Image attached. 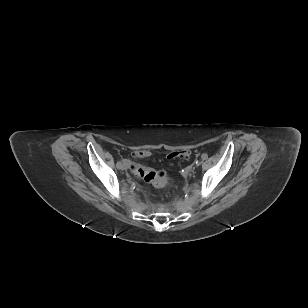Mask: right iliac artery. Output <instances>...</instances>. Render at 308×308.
Instances as JSON below:
<instances>
[{"instance_id":"obj_1","label":"right iliac artery","mask_w":308,"mask_h":308,"mask_svg":"<svg viewBox=\"0 0 308 308\" xmlns=\"http://www.w3.org/2000/svg\"><path fill=\"white\" fill-rule=\"evenodd\" d=\"M121 164V162H117L116 166L118 167Z\"/></svg>"}]
</instances>
